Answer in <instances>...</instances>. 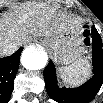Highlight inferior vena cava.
Returning a JSON list of instances; mask_svg holds the SVG:
<instances>
[{
	"label": "inferior vena cava",
	"instance_id": "obj_1",
	"mask_svg": "<svg viewBox=\"0 0 103 103\" xmlns=\"http://www.w3.org/2000/svg\"><path fill=\"white\" fill-rule=\"evenodd\" d=\"M16 47L15 43H6L1 45V50L5 53H7L10 49Z\"/></svg>",
	"mask_w": 103,
	"mask_h": 103
}]
</instances>
